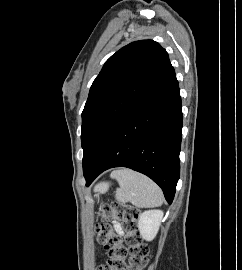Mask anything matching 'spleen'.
Segmentation results:
<instances>
[{"label":"spleen","instance_id":"obj_1","mask_svg":"<svg viewBox=\"0 0 242 270\" xmlns=\"http://www.w3.org/2000/svg\"><path fill=\"white\" fill-rule=\"evenodd\" d=\"M120 188L115 198L120 202H130L136 207H157L163 203L162 190L151 179L130 169L115 173Z\"/></svg>","mask_w":242,"mask_h":270}]
</instances>
